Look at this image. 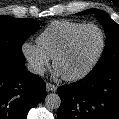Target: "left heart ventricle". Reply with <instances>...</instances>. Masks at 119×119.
<instances>
[{
  "label": "left heart ventricle",
  "instance_id": "obj_1",
  "mask_svg": "<svg viewBox=\"0 0 119 119\" xmlns=\"http://www.w3.org/2000/svg\"><path fill=\"white\" fill-rule=\"evenodd\" d=\"M101 45V35L95 28L81 32L70 50L60 58L56 69L63 76H70L83 71L95 58Z\"/></svg>",
  "mask_w": 119,
  "mask_h": 119
}]
</instances>
